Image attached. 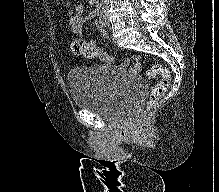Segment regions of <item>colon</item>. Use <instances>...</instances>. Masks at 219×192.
Here are the masks:
<instances>
[{"label":"colon","instance_id":"5ec220e1","mask_svg":"<svg viewBox=\"0 0 219 192\" xmlns=\"http://www.w3.org/2000/svg\"><path fill=\"white\" fill-rule=\"evenodd\" d=\"M72 51L76 55L86 58H100L105 62L111 63L112 57L102 52L94 40L82 41L76 40L72 45ZM138 59V58H136ZM147 78L161 76V79L153 86L151 94L146 104L145 113L140 119V124L145 125L151 114L155 111L160 97L168 90L170 85V76L166 67L161 64H155L145 71Z\"/></svg>","mask_w":219,"mask_h":192}]
</instances>
